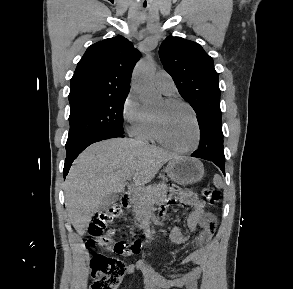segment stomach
<instances>
[{
	"label": "stomach",
	"mask_w": 293,
	"mask_h": 289,
	"mask_svg": "<svg viewBox=\"0 0 293 289\" xmlns=\"http://www.w3.org/2000/svg\"><path fill=\"white\" fill-rule=\"evenodd\" d=\"M167 176L180 185H190L199 182L204 176V166L198 159L178 157L168 162Z\"/></svg>",
	"instance_id": "1"
}]
</instances>
